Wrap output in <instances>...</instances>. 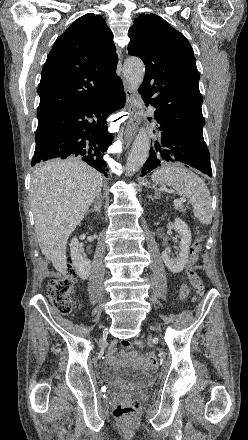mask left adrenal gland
<instances>
[{
    "label": "left adrenal gland",
    "mask_w": 248,
    "mask_h": 440,
    "mask_svg": "<svg viewBox=\"0 0 248 440\" xmlns=\"http://www.w3.org/2000/svg\"><path fill=\"white\" fill-rule=\"evenodd\" d=\"M149 199H152V196H149Z\"/></svg>",
    "instance_id": "1"
}]
</instances>
